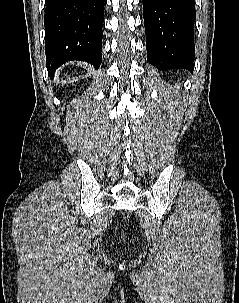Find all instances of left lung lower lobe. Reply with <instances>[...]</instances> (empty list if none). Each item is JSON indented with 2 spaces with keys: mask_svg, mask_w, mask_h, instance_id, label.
<instances>
[{
  "mask_svg": "<svg viewBox=\"0 0 239 303\" xmlns=\"http://www.w3.org/2000/svg\"><path fill=\"white\" fill-rule=\"evenodd\" d=\"M147 59L161 70L194 68V0H143Z\"/></svg>",
  "mask_w": 239,
  "mask_h": 303,
  "instance_id": "0a47b994",
  "label": "left lung lower lobe"
}]
</instances>
